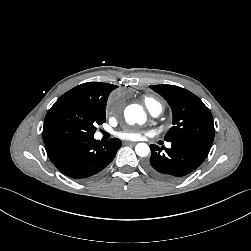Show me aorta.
<instances>
[{
	"label": "aorta",
	"mask_w": 251,
	"mask_h": 251,
	"mask_svg": "<svg viewBox=\"0 0 251 251\" xmlns=\"http://www.w3.org/2000/svg\"><path fill=\"white\" fill-rule=\"evenodd\" d=\"M125 120L128 124L138 123L140 125L146 122V114L142 106L131 104L124 111ZM135 152L140 157H145L149 154L150 148L146 143H138L135 146Z\"/></svg>",
	"instance_id": "762f6f07"
}]
</instances>
